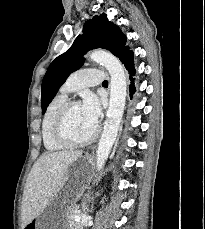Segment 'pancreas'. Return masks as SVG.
Listing matches in <instances>:
<instances>
[{
	"mask_svg": "<svg viewBox=\"0 0 205 229\" xmlns=\"http://www.w3.org/2000/svg\"><path fill=\"white\" fill-rule=\"evenodd\" d=\"M76 208L74 204H71L68 206V212L66 215V220L68 223V229H82V225L80 222H77L74 220V217L78 215L77 212H74L73 210Z\"/></svg>",
	"mask_w": 205,
	"mask_h": 229,
	"instance_id": "obj_1",
	"label": "pancreas"
}]
</instances>
